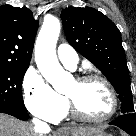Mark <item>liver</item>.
I'll use <instances>...</instances> for the list:
<instances>
[{
    "instance_id": "1",
    "label": "liver",
    "mask_w": 136,
    "mask_h": 136,
    "mask_svg": "<svg viewBox=\"0 0 136 136\" xmlns=\"http://www.w3.org/2000/svg\"><path fill=\"white\" fill-rule=\"evenodd\" d=\"M98 128L76 127L69 129L71 134H90ZM49 131V130H48ZM46 131V132H48ZM45 132V133H46ZM38 133L30 123L19 121L9 115L0 113V136H43Z\"/></svg>"
}]
</instances>
